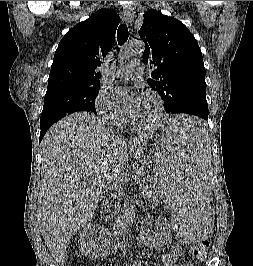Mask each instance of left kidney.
<instances>
[{"mask_svg": "<svg viewBox=\"0 0 253 266\" xmlns=\"http://www.w3.org/2000/svg\"><path fill=\"white\" fill-rule=\"evenodd\" d=\"M156 223L160 227V231L154 234H150L145 230L141 231L142 240L151 247H160L167 244L171 240V231L169 223L161 218L158 217Z\"/></svg>", "mask_w": 253, "mask_h": 266, "instance_id": "obj_1", "label": "left kidney"}]
</instances>
